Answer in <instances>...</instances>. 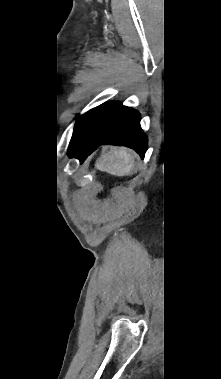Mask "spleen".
<instances>
[{
	"instance_id": "obj_1",
	"label": "spleen",
	"mask_w": 221,
	"mask_h": 379,
	"mask_svg": "<svg viewBox=\"0 0 221 379\" xmlns=\"http://www.w3.org/2000/svg\"><path fill=\"white\" fill-rule=\"evenodd\" d=\"M134 153L124 147L111 148L96 162V167L115 176H125L133 172Z\"/></svg>"
}]
</instances>
